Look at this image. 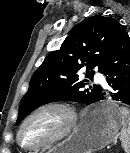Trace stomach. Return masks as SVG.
<instances>
[{
	"instance_id": "stomach-1",
	"label": "stomach",
	"mask_w": 130,
	"mask_h": 153,
	"mask_svg": "<svg viewBox=\"0 0 130 153\" xmlns=\"http://www.w3.org/2000/svg\"><path fill=\"white\" fill-rule=\"evenodd\" d=\"M121 126L118 105L108 101L86 111L65 141L42 153H92L106 147Z\"/></svg>"
}]
</instances>
